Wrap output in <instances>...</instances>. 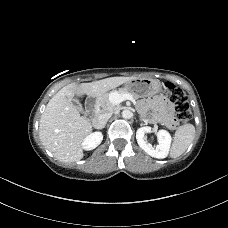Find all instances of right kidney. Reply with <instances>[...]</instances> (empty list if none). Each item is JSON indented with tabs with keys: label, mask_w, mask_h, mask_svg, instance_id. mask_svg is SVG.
<instances>
[{
	"label": "right kidney",
	"mask_w": 228,
	"mask_h": 228,
	"mask_svg": "<svg viewBox=\"0 0 228 228\" xmlns=\"http://www.w3.org/2000/svg\"><path fill=\"white\" fill-rule=\"evenodd\" d=\"M103 140L101 132H94L88 135L82 142V147L85 150L95 149Z\"/></svg>",
	"instance_id": "1"
}]
</instances>
